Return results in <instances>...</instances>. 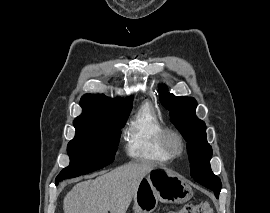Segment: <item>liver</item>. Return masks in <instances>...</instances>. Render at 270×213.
I'll return each mask as SVG.
<instances>
[{"instance_id": "6515ba94", "label": "liver", "mask_w": 270, "mask_h": 213, "mask_svg": "<svg viewBox=\"0 0 270 213\" xmlns=\"http://www.w3.org/2000/svg\"><path fill=\"white\" fill-rule=\"evenodd\" d=\"M155 167L129 163L77 183L64 197V213H126L141 180Z\"/></svg>"}]
</instances>
